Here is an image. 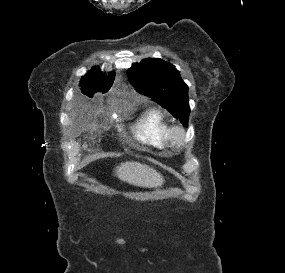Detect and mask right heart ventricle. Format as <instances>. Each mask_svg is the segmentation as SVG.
Masks as SVG:
<instances>
[{
    "instance_id": "e07e8e85",
    "label": "right heart ventricle",
    "mask_w": 285,
    "mask_h": 273,
    "mask_svg": "<svg viewBox=\"0 0 285 273\" xmlns=\"http://www.w3.org/2000/svg\"><path fill=\"white\" fill-rule=\"evenodd\" d=\"M173 126L159 109L145 111L134 123L131 132L136 140L158 150L172 147L171 131Z\"/></svg>"
}]
</instances>
